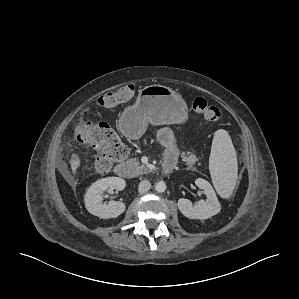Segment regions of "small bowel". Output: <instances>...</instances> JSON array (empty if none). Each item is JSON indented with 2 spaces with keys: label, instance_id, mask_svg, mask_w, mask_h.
<instances>
[{
  "label": "small bowel",
  "instance_id": "small-bowel-1",
  "mask_svg": "<svg viewBox=\"0 0 299 299\" xmlns=\"http://www.w3.org/2000/svg\"><path fill=\"white\" fill-rule=\"evenodd\" d=\"M158 141L165 147L164 161L176 164L179 157L177 138L169 128H162L157 134Z\"/></svg>",
  "mask_w": 299,
  "mask_h": 299
}]
</instances>
